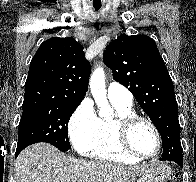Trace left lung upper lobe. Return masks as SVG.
I'll return each instance as SVG.
<instances>
[{
    "mask_svg": "<svg viewBox=\"0 0 196 182\" xmlns=\"http://www.w3.org/2000/svg\"><path fill=\"white\" fill-rule=\"evenodd\" d=\"M103 61L154 123L167 152L173 148L183 156L173 82L155 41L146 35H120L106 47Z\"/></svg>",
    "mask_w": 196,
    "mask_h": 182,
    "instance_id": "1",
    "label": "left lung upper lobe"
}]
</instances>
